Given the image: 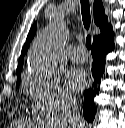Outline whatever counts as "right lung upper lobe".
Returning <instances> with one entry per match:
<instances>
[{
    "label": "right lung upper lobe",
    "instance_id": "1",
    "mask_svg": "<svg viewBox=\"0 0 125 128\" xmlns=\"http://www.w3.org/2000/svg\"><path fill=\"white\" fill-rule=\"evenodd\" d=\"M93 12H94V22L96 23V25H98L100 27V31L102 34L107 29H109L111 27V25L108 24V18L105 16L104 7H103L101 0H94ZM36 28H37V23H34V25L31 27V29L29 31L26 43L24 44V47H23V50L21 53V57L19 59L18 67L16 70V74L21 73V69L23 67L24 54L27 51V49L29 48V43L35 35ZM96 37H98V36H95L94 39Z\"/></svg>",
    "mask_w": 125,
    "mask_h": 128
}]
</instances>
